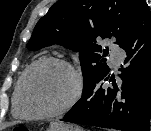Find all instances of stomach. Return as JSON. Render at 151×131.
Listing matches in <instances>:
<instances>
[{
  "instance_id": "stomach-1",
  "label": "stomach",
  "mask_w": 151,
  "mask_h": 131,
  "mask_svg": "<svg viewBox=\"0 0 151 131\" xmlns=\"http://www.w3.org/2000/svg\"><path fill=\"white\" fill-rule=\"evenodd\" d=\"M47 131H83L79 126L73 124H66L63 122L51 123Z\"/></svg>"
}]
</instances>
